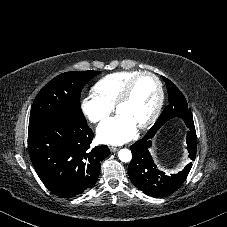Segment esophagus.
<instances>
[{"mask_svg":"<svg viewBox=\"0 0 227 227\" xmlns=\"http://www.w3.org/2000/svg\"><path fill=\"white\" fill-rule=\"evenodd\" d=\"M109 149L111 152H116L119 150V148L117 146H109Z\"/></svg>","mask_w":227,"mask_h":227,"instance_id":"obj_1","label":"esophagus"}]
</instances>
